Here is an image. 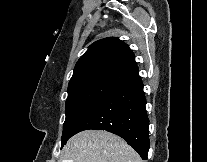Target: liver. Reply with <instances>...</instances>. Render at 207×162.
I'll return each mask as SVG.
<instances>
[{"instance_id":"1","label":"liver","mask_w":207,"mask_h":162,"mask_svg":"<svg viewBox=\"0 0 207 162\" xmlns=\"http://www.w3.org/2000/svg\"><path fill=\"white\" fill-rule=\"evenodd\" d=\"M143 162L121 137L102 130L72 136L62 150L61 162Z\"/></svg>"}]
</instances>
